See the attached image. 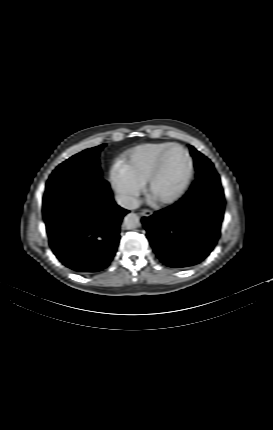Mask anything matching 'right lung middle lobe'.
<instances>
[{"mask_svg":"<svg viewBox=\"0 0 273 430\" xmlns=\"http://www.w3.org/2000/svg\"><path fill=\"white\" fill-rule=\"evenodd\" d=\"M105 145L84 150L60 164L46 184L43 204L71 191L99 185L103 179L98 157Z\"/></svg>","mask_w":273,"mask_h":430,"instance_id":"right-lung-middle-lobe-1","label":"right lung middle lobe"}]
</instances>
